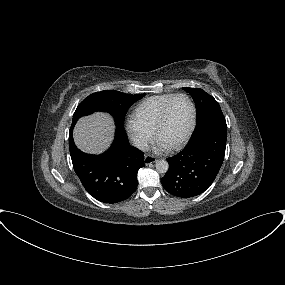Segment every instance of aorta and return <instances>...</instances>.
<instances>
[{
	"label": "aorta",
	"mask_w": 285,
	"mask_h": 285,
	"mask_svg": "<svg viewBox=\"0 0 285 285\" xmlns=\"http://www.w3.org/2000/svg\"><path fill=\"white\" fill-rule=\"evenodd\" d=\"M155 167L159 173H166L169 169V164L166 160L161 159L156 161Z\"/></svg>",
	"instance_id": "obj_1"
}]
</instances>
